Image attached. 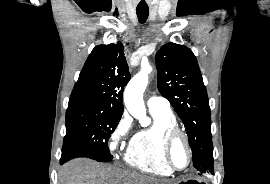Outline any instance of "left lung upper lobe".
I'll use <instances>...</instances> for the list:
<instances>
[{"instance_id":"obj_1","label":"left lung upper lobe","mask_w":270,"mask_h":184,"mask_svg":"<svg viewBox=\"0 0 270 184\" xmlns=\"http://www.w3.org/2000/svg\"><path fill=\"white\" fill-rule=\"evenodd\" d=\"M157 85L184 123L200 173H214L211 113L206 88L193 52L175 43L162 46L156 56Z\"/></svg>"}]
</instances>
